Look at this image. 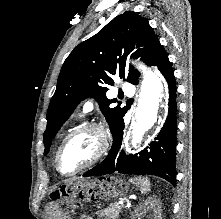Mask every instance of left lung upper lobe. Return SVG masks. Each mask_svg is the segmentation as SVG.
<instances>
[{
  "label": "left lung upper lobe",
  "instance_id": "1",
  "mask_svg": "<svg viewBox=\"0 0 221 219\" xmlns=\"http://www.w3.org/2000/svg\"><path fill=\"white\" fill-rule=\"evenodd\" d=\"M161 44L148 21L133 11L116 16L97 34L74 48L65 60L57 81L56 91L47 111L44 132V155L49 152L51 140L68 119L78 103L94 97L114 134L126 108L110 106L107 85H114L112 76L118 75L132 84L138 83L140 73L131 66L125 68L128 55L141 57L150 64Z\"/></svg>",
  "mask_w": 221,
  "mask_h": 219
}]
</instances>
